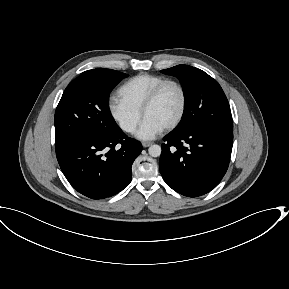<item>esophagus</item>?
Listing matches in <instances>:
<instances>
[{
	"instance_id": "esophagus-1",
	"label": "esophagus",
	"mask_w": 289,
	"mask_h": 289,
	"mask_svg": "<svg viewBox=\"0 0 289 289\" xmlns=\"http://www.w3.org/2000/svg\"><path fill=\"white\" fill-rule=\"evenodd\" d=\"M150 145H152V142H148V141L142 142V146L145 148L149 147Z\"/></svg>"
}]
</instances>
